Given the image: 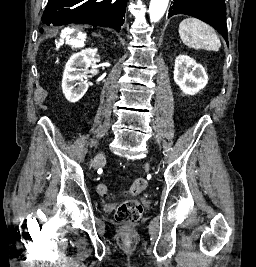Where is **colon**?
<instances>
[{"label": "colon", "instance_id": "obj_1", "mask_svg": "<svg viewBox=\"0 0 256 267\" xmlns=\"http://www.w3.org/2000/svg\"><path fill=\"white\" fill-rule=\"evenodd\" d=\"M148 187L144 178H138L129 190L130 195L135 196L143 192ZM97 191L102 196H108L109 191L105 184H99ZM143 212L142 204L136 200H127L121 203L116 210V218L119 223H123V228H131V223L139 220Z\"/></svg>", "mask_w": 256, "mask_h": 267}]
</instances>
